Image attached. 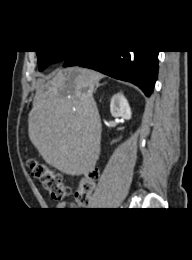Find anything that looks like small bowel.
<instances>
[{"label":"small bowel","mask_w":192,"mask_h":260,"mask_svg":"<svg viewBox=\"0 0 192 260\" xmlns=\"http://www.w3.org/2000/svg\"><path fill=\"white\" fill-rule=\"evenodd\" d=\"M56 208L58 210H63L66 208V202L65 201H59L57 204H56Z\"/></svg>","instance_id":"obj_1"}]
</instances>
